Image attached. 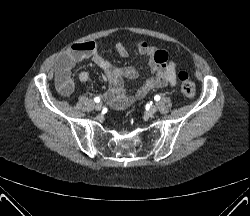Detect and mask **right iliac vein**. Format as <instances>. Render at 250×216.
<instances>
[{
    "label": "right iliac vein",
    "mask_w": 250,
    "mask_h": 216,
    "mask_svg": "<svg viewBox=\"0 0 250 216\" xmlns=\"http://www.w3.org/2000/svg\"><path fill=\"white\" fill-rule=\"evenodd\" d=\"M101 109H102V104L101 103H97L95 105V110L100 111Z\"/></svg>",
    "instance_id": "63e3f726"
}]
</instances>
